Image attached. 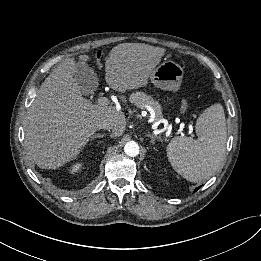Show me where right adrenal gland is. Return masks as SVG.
<instances>
[{
  "instance_id": "2a0ac1e0",
  "label": "right adrenal gland",
  "mask_w": 261,
  "mask_h": 261,
  "mask_svg": "<svg viewBox=\"0 0 261 261\" xmlns=\"http://www.w3.org/2000/svg\"><path fill=\"white\" fill-rule=\"evenodd\" d=\"M105 134H95L94 136L91 137L92 140L95 138H103Z\"/></svg>"
}]
</instances>
